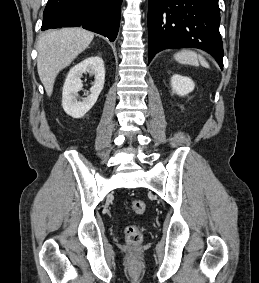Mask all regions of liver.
Segmentation results:
<instances>
[{"label":"liver","instance_id":"6515ba94","mask_svg":"<svg viewBox=\"0 0 259 283\" xmlns=\"http://www.w3.org/2000/svg\"><path fill=\"white\" fill-rule=\"evenodd\" d=\"M94 34L82 28L46 32L38 43L37 70L50 97L58 73L71 64L91 43Z\"/></svg>","mask_w":259,"mask_h":283}]
</instances>
